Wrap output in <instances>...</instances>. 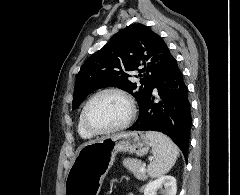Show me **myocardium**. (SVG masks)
Returning <instances> with one entry per match:
<instances>
[{"instance_id":"obj_1","label":"myocardium","mask_w":240,"mask_h":195,"mask_svg":"<svg viewBox=\"0 0 240 195\" xmlns=\"http://www.w3.org/2000/svg\"><path fill=\"white\" fill-rule=\"evenodd\" d=\"M106 94H117V95L122 96L129 105V115L125 119V121H123L121 124H119L117 126L107 128V129H95L91 125H89V123L87 122L88 109H89L90 105L97 98H99L103 95H106ZM135 117H136V105H135V102H134L132 96L128 92H126L122 89H119V88H107V89L98 91L87 101V103L85 104L83 111H82L81 120H82V124H83L84 128L91 135L95 136V135H109V134L123 131L131 125V123L135 120Z\"/></svg>"}]
</instances>
